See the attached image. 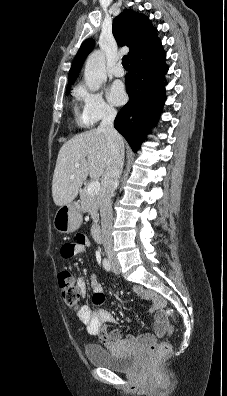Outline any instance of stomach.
I'll use <instances>...</instances> for the list:
<instances>
[{"mask_svg":"<svg viewBox=\"0 0 227 396\" xmlns=\"http://www.w3.org/2000/svg\"><path fill=\"white\" fill-rule=\"evenodd\" d=\"M82 223V214L77 203H71L61 206L54 217V228L64 234L77 230Z\"/></svg>","mask_w":227,"mask_h":396,"instance_id":"1","label":"stomach"}]
</instances>
